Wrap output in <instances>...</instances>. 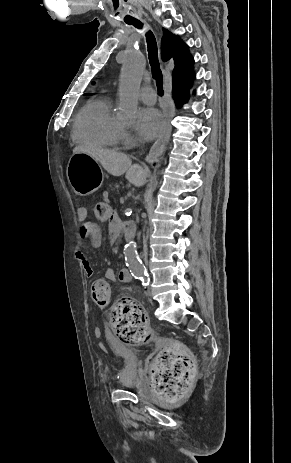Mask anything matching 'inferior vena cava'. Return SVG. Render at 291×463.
<instances>
[{
	"mask_svg": "<svg viewBox=\"0 0 291 463\" xmlns=\"http://www.w3.org/2000/svg\"><path fill=\"white\" fill-rule=\"evenodd\" d=\"M143 251H144V256L146 258L148 255V248H147V243L144 237H143Z\"/></svg>",
	"mask_w": 291,
	"mask_h": 463,
	"instance_id": "602c4592",
	"label": "inferior vena cava"
}]
</instances>
